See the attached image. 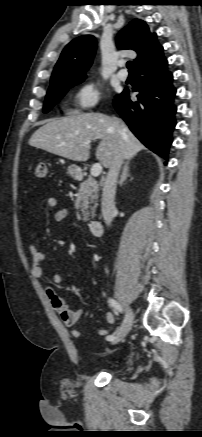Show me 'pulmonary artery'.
<instances>
[{"label":"pulmonary artery","instance_id":"e3ab8cb5","mask_svg":"<svg viewBox=\"0 0 202 437\" xmlns=\"http://www.w3.org/2000/svg\"><path fill=\"white\" fill-rule=\"evenodd\" d=\"M119 66L122 68L124 66V63L120 62ZM117 76L120 80L125 81L128 78V73L125 69H120L117 73Z\"/></svg>","mask_w":202,"mask_h":437}]
</instances>
